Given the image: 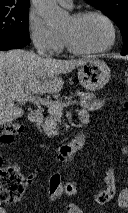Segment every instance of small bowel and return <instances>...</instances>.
<instances>
[{
  "label": "small bowel",
  "instance_id": "c3829d8e",
  "mask_svg": "<svg viewBox=\"0 0 128 213\" xmlns=\"http://www.w3.org/2000/svg\"><path fill=\"white\" fill-rule=\"evenodd\" d=\"M105 105V101L103 99H96L90 105V110H98ZM81 121L85 120L86 122L89 121V112L88 110H81L80 113ZM121 153L124 155L128 154V146L121 147ZM35 175L30 174L27 177L28 182H32ZM63 195V185L61 181V176L58 172H52L49 175L48 179V197L51 202H58L60 201ZM65 213H82L81 209L76 206L75 204L69 203L64 206ZM0 213H7V210L4 206L0 203Z\"/></svg>",
  "mask_w": 128,
  "mask_h": 213
}]
</instances>
